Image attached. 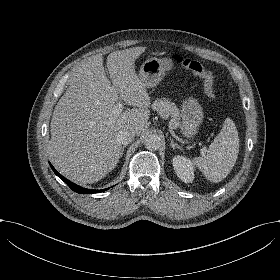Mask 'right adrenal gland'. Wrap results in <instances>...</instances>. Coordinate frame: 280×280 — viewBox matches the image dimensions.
<instances>
[{
	"instance_id": "2a0ac1e0",
	"label": "right adrenal gland",
	"mask_w": 280,
	"mask_h": 280,
	"mask_svg": "<svg viewBox=\"0 0 280 280\" xmlns=\"http://www.w3.org/2000/svg\"><path fill=\"white\" fill-rule=\"evenodd\" d=\"M123 152H124V147H122V150H121V157L123 155Z\"/></svg>"
}]
</instances>
